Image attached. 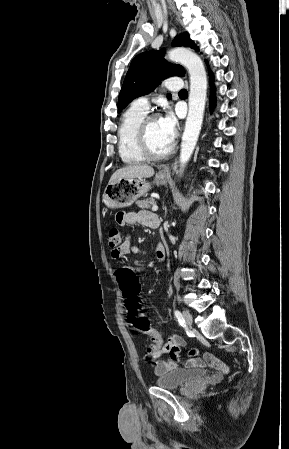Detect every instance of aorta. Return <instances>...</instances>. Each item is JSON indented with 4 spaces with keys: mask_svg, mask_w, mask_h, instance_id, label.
<instances>
[{
    "mask_svg": "<svg viewBox=\"0 0 289 449\" xmlns=\"http://www.w3.org/2000/svg\"><path fill=\"white\" fill-rule=\"evenodd\" d=\"M168 59L184 65L190 76L189 111L180 150L181 170L189 161L201 130L207 95V76L200 57L185 48L168 52Z\"/></svg>",
    "mask_w": 289,
    "mask_h": 449,
    "instance_id": "762f6f07",
    "label": "aorta"
}]
</instances>
